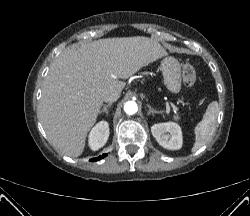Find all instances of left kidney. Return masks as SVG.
<instances>
[{"label": "left kidney", "mask_w": 250, "mask_h": 216, "mask_svg": "<svg viewBox=\"0 0 250 216\" xmlns=\"http://www.w3.org/2000/svg\"><path fill=\"white\" fill-rule=\"evenodd\" d=\"M151 132L156 141L166 149L178 150L182 147V131L174 122L155 124L151 127Z\"/></svg>", "instance_id": "left-kidney-1"}]
</instances>
